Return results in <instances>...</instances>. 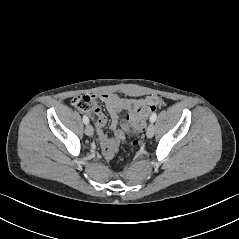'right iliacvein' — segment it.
<instances>
[{"instance_id":"right-iliac-vein-1","label":"right iliac vein","mask_w":239,"mask_h":239,"mask_svg":"<svg viewBox=\"0 0 239 239\" xmlns=\"http://www.w3.org/2000/svg\"><path fill=\"white\" fill-rule=\"evenodd\" d=\"M85 133L88 136H93L94 134V129L91 125L87 124V126L85 127Z\"/></svg>"}]
</instances>
